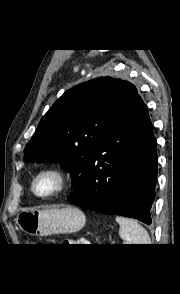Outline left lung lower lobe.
Returning a JSON list of instances; mask_svg holds the SVG:
<instances>
[{"label": "left lung lower lobe", "instance_id": "0a47b994", "mask_svg": "<svg viewBox=\"0 0 180 294\" xmlns=\"http://www.w3.org/2000/svg\"><path fill=\"white\" fill-rule=\"evenodd\" d=\"M156 139L138 94L95 151L77 194L68 201L106 214L151 224L157 177Z\"/></svg>", "mask_w": 180, "mask_h": 294}]
</instances>
